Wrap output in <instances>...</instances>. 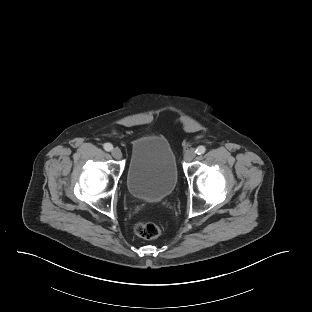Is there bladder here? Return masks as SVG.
<instances>
[{
  "instance_id": "1",
  "label": "bladder",
  "mask_w": 312,
  "mask_h": 312,
  "mask_svg": "<svg viewBox=\"0 0 312 312\" xmlns=\"http://www.w3.org/2000/svg\"><path fill=\"white\" fill-rule=\"evenodd\" d=\"M178 176L176 156L165 137L145 135L131 143L126 175L131 196L146 202L161 201L174 191Z\"/></svg>"
}]
</instances>
